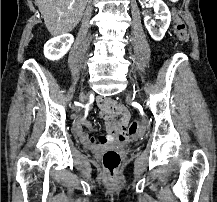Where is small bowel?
I'll list each match as a JSON object with an SVG mask.
<instances>
[{"instance_id":"obj_1","label":"small bowel","mask_w":217,"mask_h":202,"mask_svg":"<svg viewBox=\"0 0 217 202\" xmlns=\"http://www.w3.org/2000/svg\"><path fill=\"white\" fill-rule=\"evenodd\" d=\"M97 108L101 109L100 118H103V121H108L107 135L90 138L85 128L91 131L92 126L82 121H79L74 128L75 135L85 146L93 149L98 148L99 144L124 143L132 135L127 129L130 113L123 108V104H118V101H97ZM117 113H120L119 119H116Z\"/></svg>"}]
</instances>
